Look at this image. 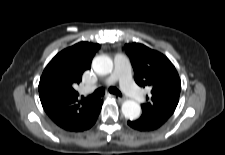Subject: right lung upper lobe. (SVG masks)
<instances>
[{"label":"right lung upper lobe","mask_w":225,"mask_h":155,"mask_svg":"<svg viewBox=\"0 0 225 155\" xmlns=\"http://www.w3.org/2000/svg\"><path fill=\"white\" fill-rule=\"evenodd\" d=\"M99 44L80 42L58 53L46 66L39 82V96L48 116L67 131H83L88 125L99 99L79 98L75 87Z\"/></svg>","instance_id":"1"}]
</instances>
